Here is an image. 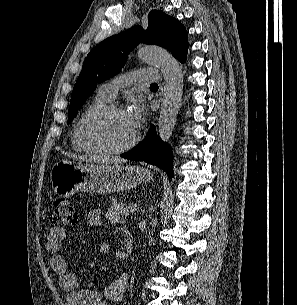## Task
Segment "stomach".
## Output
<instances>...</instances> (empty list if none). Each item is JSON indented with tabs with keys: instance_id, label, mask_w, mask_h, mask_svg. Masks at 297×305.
<instances>
[{
	"instance_id": "1",
	"label": "stomach",
	"mask_w": 297,
	"mask_h": 305,
	"mask_svg": "<svg viewBox=\"0 0 297 305\" xmlns=\"http://www.w3.org/2000/svg\"><path fill=\"white\" fill-rule=\"evenodd\" d=\"M152 179L151 170L142 166L88 164L71 160L57 162L50 173L52 189L62 198H69L78 191L121 192Z\"/></svg>"
}]
</instances>
